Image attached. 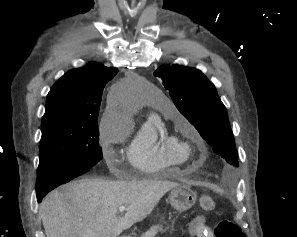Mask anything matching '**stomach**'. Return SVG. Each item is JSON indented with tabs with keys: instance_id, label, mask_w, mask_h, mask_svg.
<instances>
[{
	"instance_id": "obj_1",
	"label": "stomach",
	"mask_w": 297,
	"mask_h": 237,
	"mask_svg": "<svg viewBox=\"0 0 297 237\" xmlns=\"http://www.w3.org/2000/svg\"><path fill=\"white\" fill-rule=\"evenodd\" d=\"M196 194L185 186L174 188L169 195V202L179 212L190 209L196 202Z\"/></svg>"
}]
</instances>
